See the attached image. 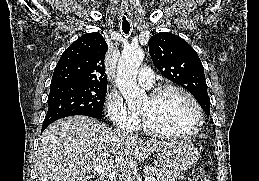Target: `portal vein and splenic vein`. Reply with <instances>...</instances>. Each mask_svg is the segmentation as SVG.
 I'll use <instances>...</instances> for the list:
<instances>
[{
  "label": "portal vein and splenic vein",
  "instance_id": "portal-vein-and-splenic-vein-1",
  "mask_svg": "<svg viewBox=\"0 0 259 181\" xmlns=\"http://www.w3.org/2000/svg\"><path fill=\"white\" fill-rule=\"evenodd\" d=\"M95 172L100 174L102 178H107L110 181H133L130 176L124 174H116L106 166L97 168ZM145 181H156V179L152 177H147L145 178Z\"/></svg>",
  "mask_w": 259,
  "mask_h": 181
}]
</instances>
